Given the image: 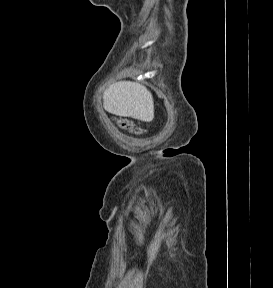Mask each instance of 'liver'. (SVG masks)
<instances>
[{
	"label": "liver",
	"instance_id": "1",
	"mask_svg": "<svg viewBox=\"0 0 273 288\" xmlns=\"http://www.w3.org/2000/svg\"><path fill=\"white\" fill-rule=\"evenodd\" d=\"M104 109L120 117H131L143 122L154 118V101L151 92L140 83L119 81L103 93Z\"/></svg>",
	"mask_w": 273,
	"mask_h": 288
}]
</instances>
